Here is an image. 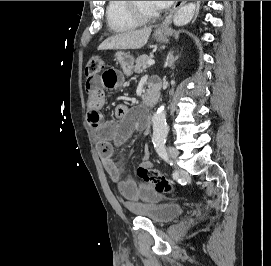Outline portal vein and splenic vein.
I'll return each mask as SVG.
<instances>
[{
    "label": "portal vein and splenic vein",
    "mask_w": 271,
    "mask_h": 266,
    "mask_svg": "<svg viewBox=\"0 0 271 266\" xmlns=\"http://www.w3.org/2000/svg\"><path fill=\"white\" fill-rule=\"evenodd\" d=\"M154 64H155V61L152 59L147 61L148 66H153Z\"/></svg>",
    "instance_id": "portal-vein-and-splenic-vein-1"
}]
</instances>
